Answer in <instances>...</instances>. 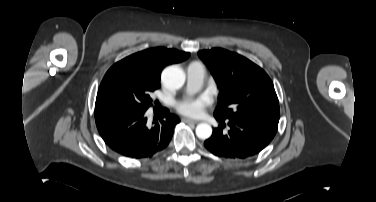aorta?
Returning a JSON list of instances; mask_svg holds the SVG:
<instances>
[{"mask_svg":"<svg viewBox=\"0 0 376 202\" xmlns=\"http://www.w3.org/2000/svg\"><path fill=\"white\" fill-rule=\"evenodd\" d=\"M161 79L166 88L179 89L185 82V73L179 66H169L162 72ZM212 134V128L207 123H200L196 127V135L199 139H208Z\"/></svg>","mask_w":376,"mask_h":202,"instance_id":"obj_1","label":"aorta"}]
</instances>
